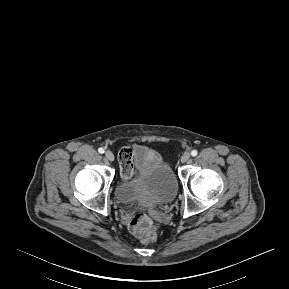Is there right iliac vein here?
<instances>
[{"mask_svg": "<svg viewBox=\"0 0 289 289\" xmlns=\"http://www.w3.org/2000/svg\"><path fill=\"white\" fill-rule=\"evenodd\" d=\"M105 156L109 161L114 160V154L111 151H106Z\"/></svg>", "mask_w": 289, "mask_h": 289, "instance_id": "1", "label": "right iliac vein"}]
</instances>
